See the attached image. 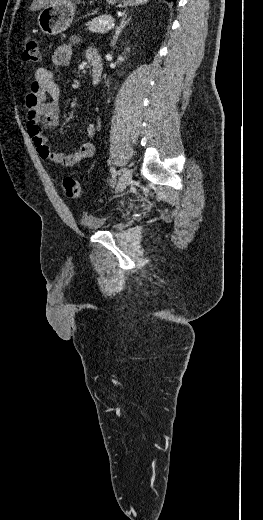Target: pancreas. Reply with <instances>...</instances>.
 <instances>
[{"label": "pancreas", "mask_w": 263, "mask_h": 520, "mask_svg": "<svg viewBox=\"0 0 263 520\" xmlns=\"http://www.w3.org/2000/svg\"><path fill=\"white\" fill-rule=\"evenodd\" d=\"M105 21L113 22L114 19L112 18L111 15L105 14V15H101L99 17H95L91 21H88L86 23V26L88 27L89 31H91V32L105 33L108 30L107 29L108 24H105L104 23Z\"/></svg>", "instance_id": "pancreas-1"}]
</instances>
